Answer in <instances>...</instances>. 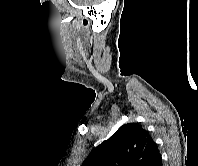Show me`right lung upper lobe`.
<instances>
[{
    "mask_svg": "<svg viewBox=\"0 0 198 166\" xmlns=\"http://www.w3.org/2000/svg\"><path fill=\"white\" fill-rule=\"evenodd\" d=\"M159 154L149 133L138 123H128L94 148L82 166H149Z\"/></svg>",
    "mask_w": 198,
    "mask_h": 166,
    "instance_id": "right-lung-upper-lobe-1",
    "label": "right lung upper lobe"
}]
</instances>
